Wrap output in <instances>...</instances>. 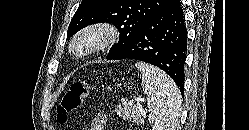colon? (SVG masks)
Masks as SVG:
<instances>
[{"label": "colon", "instance_id": "obj_1", "mask_svg": "<svg viewBox=\"0 0 249 130\" xmlns=\"http://www.w3.org/2000/svg\"><path fill=\"white\" fill-rule=\"evenodd\" d=\"M93 87L85 82H74L64 93L57 106V120L63 124L68 120L69 115L79 108Z\"/></svg>", "mask_w": 249, "mask_h": 130}]
</instances>
